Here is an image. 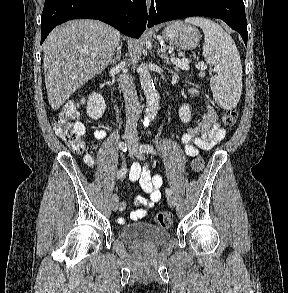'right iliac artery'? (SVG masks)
<instances>
[{"label": "right iliac artery", "mask_w": 288, "mask_h": 293, "mask_svg": "<svg viewBox=\"0 0 288 293\" xmlns=\"http://www.w3.org/2000/svg\"><path fill=\"white\" fill-rule=\"evenodd\" d=\"M119 148H120L122 151H124V152H126V150H127V148H126V144H124L123 142H120V143H119ZM126 172H127L126 167L121 168V169L117 172V179L122 178V177L124 176V174H126Z\"/></svg>", "instance_id": "82829eb1"}]
</instances>
